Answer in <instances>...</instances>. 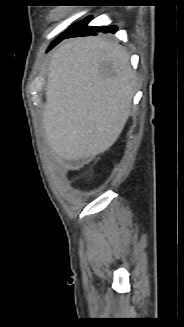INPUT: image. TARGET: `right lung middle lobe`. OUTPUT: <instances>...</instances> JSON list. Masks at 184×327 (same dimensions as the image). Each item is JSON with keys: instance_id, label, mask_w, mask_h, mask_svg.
<instances>
[{"instance_id": "obj_1", "label": "right lung middle lobe", "mask_w": 184, "mask_h": 327, "mask_svg": "<svg viewBox=\"0 0 184 327\" xmlns=\"http://www.w3.org/2000/svg\"><path fill=\"white\" fill-rule=\"evenodd\" d=\"M78 23L79 22H77V23H75V24H73L64 34H62L59 38H57L56 40H54L53 42H52V44H51V46L50 47H52V46H54L55 44H57L58 43V41L65 35V34H67V33H69L70 31H72L75 27H76V25H78Z\"/></svg>"}]
</instances>
